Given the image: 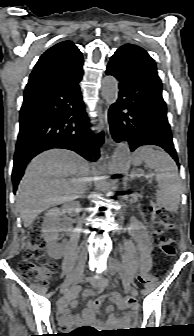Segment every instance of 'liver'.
<instances>
[{
  "mask_svg": "<svg viewBox=\"0 0 194 336\" xmlns=\"http://www.w3.org/2000/svg\"><path fill=\"white\" fill-rule=\"evenodd\" d=\"M88 175V162L73 151L51 149L35 157L16 194L24 226L29 227L48 208L81 197Z\"/></svg>",
  "mask_w": 194,
  "mask_h": 336,
  "instance_id": "liver-1",
  "label": "liver"
}]
</instances>
